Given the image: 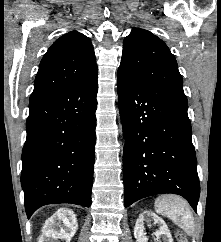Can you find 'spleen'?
<instances>
[{
  "instance_id": "obj_1",
  "label": "spleen",
  "mask_w": 221,
  "mask_h": 242,
  "mask_svg": "<svg viewBox=\"0 0 221 242\" xmlns=\"http://www.w3.org/2000/svg\"><path fill=\"white\" fill-rule=\"evenodd\" d=\"M156 213L169 218L187 235L195 231L194 217L188 202L180 196L161 195L155 200Z\"/></svg>"
}]
</instances>
